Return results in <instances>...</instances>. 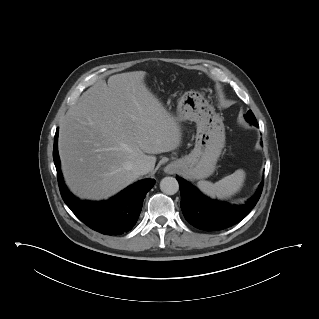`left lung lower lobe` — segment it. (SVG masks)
<instances>
[{
  "label": "left lung lower lobe",
  "instance_id": "obj_1",
  "mask_svg": "<svg viewBox=\"0 0 319 319\" xmlns=\"http://www.w3.org/2000/svg\"><path fill=\"white\" fill-rule=\"evenodd\" d=\"M258 127V124H253ZM181 191V209L185 219L194 227L205 231H217L230 227L243 218L254 208L260 198L263 181L256 194L241 205L214 201L193 187L187 181L176 177Z\"/></svg>",
  "mask_w": 319,
  "mask_h": 319
}]
</instances>
